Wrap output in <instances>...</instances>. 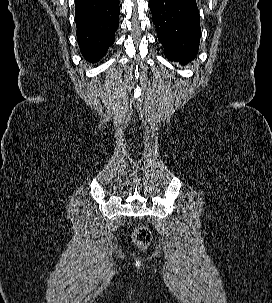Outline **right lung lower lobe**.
Instances as JSON below:
<instances>
[{
	"label": "right lung lower lobe",
	"mask_w": 272,
	"mask_h": 303,
	"mask_svg": "<svg viewBox=\"0 0 272 303\" xmlns=\"http://www.w3.org/2000/svg\"><path fill=\"white\" fill-rule=\"evenodd\" d=\"M119 13L118 0H75L77 41L87 61H99L114 43Z\"/></svg>",
	"instance_id": "right-lung-lower-lobe-1"
}]
</instances>
